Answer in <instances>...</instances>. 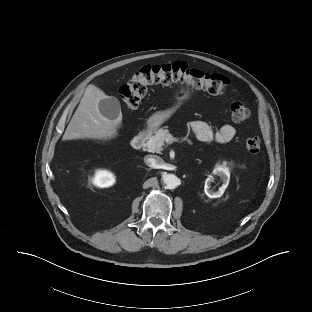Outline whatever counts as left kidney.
Listing matches in <instances>:
<instances>
[{
	"label": "left kidney",
	"instance_id": "1",
	"mask_svg": "<svg viewBox=\"0 0 312 312\" xmlns=\"http://www.w3.org/2000/svg\"><path fill=\"white\" fill-rule=\"evenodd\" d=\"M213 173L220 177V180L223 183L222 187H220L219 190L215 192L212 189H210L211 188V180L206 179L205 185H204V191H205V194L209 198H218V197H221L223 195L226 187L229 184L230 172H229V168L226 166V163H223V164H218L216 166V168L214 169Z\"/></svg>",
	"mask_w": 312,
	"mask_h": 312
}]
</instances>
